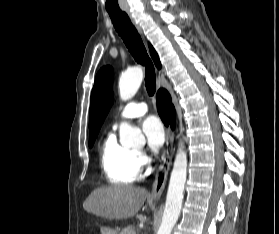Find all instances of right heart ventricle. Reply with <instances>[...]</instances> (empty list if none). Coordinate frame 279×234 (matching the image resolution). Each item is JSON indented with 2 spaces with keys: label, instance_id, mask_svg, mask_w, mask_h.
Masks as SVG:
<instances>
[{
  "label": "right heart ventricle",
  "instance_id": "1",
  "mask_svg": "<svg viewBox=\"0 0 279 234\" xmlns=\"http://www.w3.org/2000/svg\"><path fill=\"white\" fill-rule=\"evenodd\" d=\"M102 170L109 183L121 186L131 184L139 178L137 152L121 145L111 132L100 150Z\"/></svg>",
  "mask_w": 279,
  "mask_h": 234
}]
</instances>
